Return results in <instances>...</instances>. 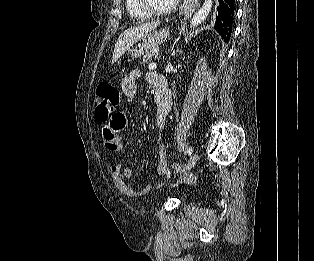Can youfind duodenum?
<instances>
[{"label": "duodenum", "mask_w": 314, "mask_h": 261, "mask_svg": "<svg viewBox=\"0 0 314 261\" xmlns=\"http://www.w3.org/2000/svg\"><path fill=\"white\" fill-rule=\"evenodd\" d=\"M155 104L159 112H168L171 109L172 98L166 79L157 75L155 79Z\"/></svg>", "instance_id": "1"}]
</instances>
